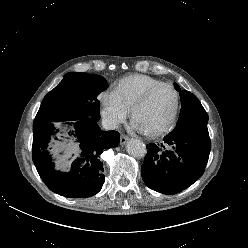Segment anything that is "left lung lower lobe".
I'll use <instances>...</instances> for the list:
<instances>
[{
    "label": "left lung lower lobe",
    "instance_id": "left-lung-lower-lobe-1",
    "mask_svg": "<svg viewBox=\"0 0 248 248\" xmlns=\"http://www.w3.org/2000/svg\"><path fill=\"white\" fill-rule=\"evenodd\" d=\"M141 167L144 183L163 194H176L204 173L211 149L207 122L177 125L161 144L150 143Z\"/></svg>",
    "mask_w": 248,
    "mask_h": 248
}]
</instances>
